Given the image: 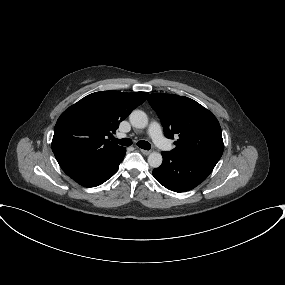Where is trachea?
<instances>
[{
    "instance_id": "1",
    "label": "trachea",
    "mask_w": 285,
    "mask_h": 285,
    "mask_svg": "<svg viewBox=\"0 0 285 285\" xmlns=\"http://www.w3.org/2000/svg\"><path fill=\"white\" fill-rule=\"evenodd\" d=\"M113 140V142H116L122 146H130L132 144V141L129 138H123V139H116L114 137L111 138ZM137 145L145 150H150L151 145L149 142L141 140L137 143Z\"/></svg>"
}]
</instances>
